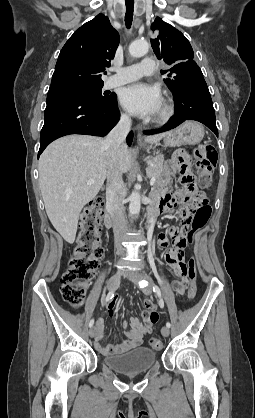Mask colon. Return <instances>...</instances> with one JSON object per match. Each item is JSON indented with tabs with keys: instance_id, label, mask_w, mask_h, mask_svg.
I'll return each instance as SVG.
<instances>
[{
	"instance_id": "1",
	"label": "colon",
	"mask_w": 255,
	"mask_h": 418,
	"mask_svg": "<svg viewBox=\"0 0 255 418\" xmlns=\"http://www.w3.org/2000/svg\"><path fill=\"white\" fill-rule=\"evenodd\" d=\"M195 165L198 174V182L201 187L208 188L212 183L213 171L217 164L218 155L212 144L198 145L194 152ZM195 211L191 214L188 210L186 220L182 228H189L191 234L186 235V244L193 243L192 234L202 228L211 216V207L207 203L206 195L198 192L194 198ZM104 201L101 197L91 200L83 208L80 216V231L75 247L70 256L67 269L61 278V293L65 301L73 308L82 306L85 299L86 284L94 277L100 265L103 248L99 241L100 220ZM188 265L187 296L193 299L196 295V267L193 258ZM150 346L159 350L162 342L158 338H151Z\"/></svg>"
}]
</instances>
